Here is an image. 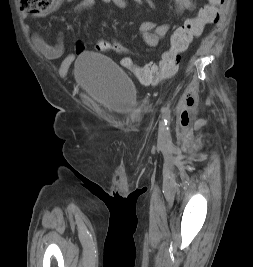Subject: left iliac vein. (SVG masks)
Masks as SVG:
<instances>
[{
  "instance_id": "4c4485c4",
  "label": "left iliac vein",
  "mask_w": 253,
  "mask_h": 267,
  "mask_svg": "<svg viewBox=\"0 0 253 267\" xmlns=\"http://www.w3.org/2000/svg\"><path fill=\"white\" fill-rule=\"evenodd\" d=\"M164 139H165V126H164V122L161 121L159 124V132H158V141L160 144L164 143Z\"/></svg>"
}]
</instances>
